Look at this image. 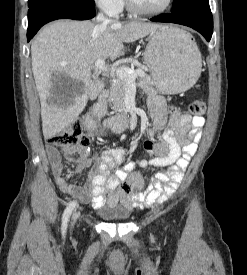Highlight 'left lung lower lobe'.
Wrapping results in <instances>:
<instances>
[{
	"label": "left lung lower lobe",
	"mask_w": 247,
	"mask_h": 275,
	"mask_svg": "<svg viewBox=\"0 0 247 275\" xmlns=\"http://www.w3.org/2000/svg\"><path fill=\"white\" fill-rule=\"evenodd\" d=\"M150 20L191 27L201 33L207 41H210L213 33V18L209 5L194 7L178 13L162 14Z\"/></svg>",
	"instance_id": "0a47b994"
}]
</instances>
